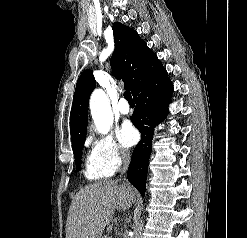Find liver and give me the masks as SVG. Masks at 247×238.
Listing matches in <instances>:
<instances>
[{"mask_svg":"<svg viewBox=\"0 0 247 238\" xmlns=\"http://www.w3.org/2000/svg\"><path fill=\"white\" fill-rule=\"evenodd\" d=\"M135 201L128 185L104 180L81 189L73 198L66 223V238H101L115 209L125 211Z\"/></svg>","mask_w":247,"mask_h":238,"instance_id":"obj_1","label":"liver"}]
</instances>
